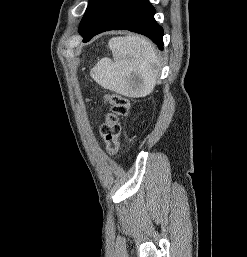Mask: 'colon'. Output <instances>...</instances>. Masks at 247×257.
Instances as JSON below:
<instances>
[{
    "label": "colon",
    "instance_id": "colon-1",
    "mask_svg": "<svg viewBox=\"0 0 247 257\" xmlns=\"http://www.w3.org/2000/svg\"><path fill=\"white\" fill-rule=\"evenodd\" d=\"M106 101L110 104V111L100 127V132L108 154L116 155L120 149V122L128 114L129 100L121 94L114 93L108 95Z\"/></svg>",
    "mask_w": 247,
    "mask_h": 257
}]
</instances>
